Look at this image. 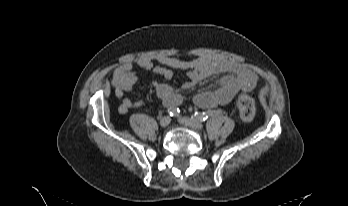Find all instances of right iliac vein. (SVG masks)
Wrapping results in <instances>:
<instances>
[{"label":"right iliac vein","mask_w":348,"mask_h":206,"mask_svg":"<svg viewBox=\"0 0 348 206\" xmlns=\"http://www.w3.org/2000/svg\"><path fill=\"white\" fill-rule=\"evenodd\" d=\"M170 117L169 116H165L160 120V126L163 128H166L169 124H170Z\"/></svg>","instance_id":"63e3f726"}]
</instances>
